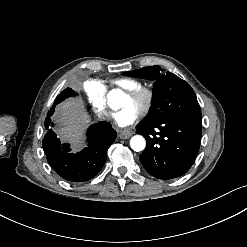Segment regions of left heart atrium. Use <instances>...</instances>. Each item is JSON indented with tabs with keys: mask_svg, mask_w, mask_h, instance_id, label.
I'll return each mask as SVG.
<instances>
[{
	"mask_svg": "<svg viewBox=\"0 0 247 247\" xmlns=\"http://www.w3.org/2000/svg\"><path fill=\"white\" fill-rule=\"evenodd\" d=\"M141 116V109L134 104L124 108L114 115V121L118 126L124 127L134 124Z\"/></svg>",
	"mask_w": 247,
	"mask_h": 247,
	"instance_id": "39dd6f15",
	"label": "left heart atrium"
}]
</instances>
